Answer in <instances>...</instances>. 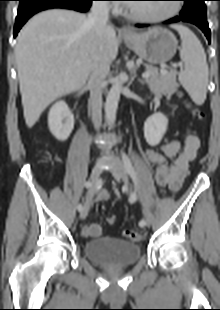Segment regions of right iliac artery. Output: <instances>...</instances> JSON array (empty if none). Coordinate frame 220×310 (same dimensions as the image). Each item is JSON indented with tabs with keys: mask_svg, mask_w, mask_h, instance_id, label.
Masks as SVG:
<instances>
[{
	"mask_svg": "<svg viewBox=\"0 0 220 310\" xmlns=\"http://www.w3.org/2000/svg\"><path fill=\"white\" fill-rule=\"evenodd\" d=\"M90 186H91L90 181H88V182L85 183V187H86V188H89ZM77 209H78L79 211H81V210L83 209V206H82L81 204H79V205L77 206Z\"/></svg>",
	"mask_w": 220,
	"mask_h": 310,
	"instance_id": "1",
	"label": "right iliac artery"
}]
</instances>
